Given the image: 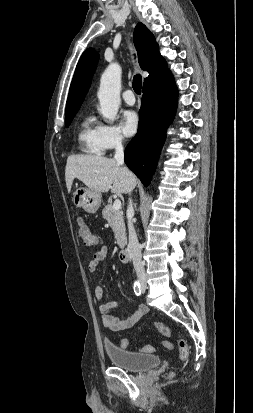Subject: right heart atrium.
<instances>
[{
  "label": "right heart atrium",
  "instance_id": "d8ad5b80",
  "mask_svg": "<svg viewBox=\"0 0 253 413\" xmlns=\"http://www.w3.org/2000/svg\"><path fill=\"white\" fill-rule=\"evenodd\" d=\"M99 140L103 151L121 148L125 138L118 127L112 124L99 125Z\"/></svg>",
  "mask_w": 253,
  "mask_h": 413
}]
</instances>
